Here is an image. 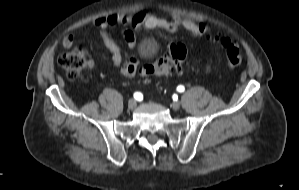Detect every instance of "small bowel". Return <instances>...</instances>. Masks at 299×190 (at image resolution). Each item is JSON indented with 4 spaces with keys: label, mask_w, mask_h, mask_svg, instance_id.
<instances>
[{
    "label": "small bowel",
    "mask_w": 299,
    "mask_h": 190,
    "mask_svg": "<svg viewBox=\"0 0 299 190\" xmlns=\"http://www.w3.org/2000/svg\"><path fill=\"white\" fill-rule=\"evenodd\" d=\"M94 25L98 28L100 37L112 55L113 64L120 69L122 75L133 77L138 68L137 47L135 34L143 29L154 28L167 32H176L179 28H184L189 35L194 38L202 39L210 33V28L204 23H196L190 18L183 17L178 13H172L170 18L157 16L148 12H136L132 14L112 13L107 16L97 17ZM125 26L127 29L121 32L122 37L132 50V55L123 52L115 40L109 35L108 28L115 26ZM74 39L67 36L63 39L62 45L66 48L72 47ZM88 69L93 70L95 64L88 62ZM213 61H209L205 66V71L210 72Z\"/></svg>",
    "instance_id": "obj_1"
}]
</instances>
